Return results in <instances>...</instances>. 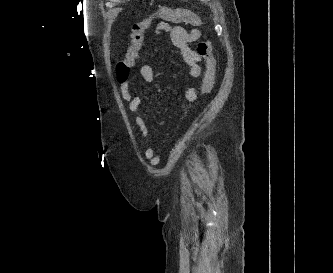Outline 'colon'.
Returning <instances> with one entry per match:
<instances>
[{
	"mask_svg": "<svg viewBox=\"0 0 333 273\" xmlns=\"http://www.w3.org/2000/svg\"><path fill=\"white\" fill-rule=\"evenodd\" d=\"M154 19L172 22L183 21L195 25L204 23V20L200 16L188 9H172L169 7H159L140 21L135 22L131 29V41L126 55L119 59L116 64L117 79L120 83L128 80L130 70L138 59L145 33ZM197 54L205 61V69L202 75V83L199 92L201 95H207L214 88L216 81L217 64L213 54L212 42L207 38L201 41L197 47Z\"/></svg>",
	"mask_w": 333,
	"mask_h": 273,
	"instance_id": "colon-1",
	"label": "colon"
}]
</instances>
